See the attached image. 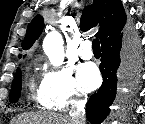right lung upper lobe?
Returning <instances> with one entry per match:
<instances>
[{"label":"right lung upper lobe","mask_w":145,"mask_h":124,"mask_svg":"<svg viewBox=\"0 0 145 124\" xmlns=\"http://www.w3.org/2000/svg\"><path fill=\"white\" fill-rule=\"evenodd\" d=\"M125 22L126 14L121 0H94L92 5L84 8L80 28L82 31H87L99 24L100 29L96 36L102 43L109 36L120 32ZM43 28V18L40 15L35 16L28 25L22 48L29 49ZM21 56L19 57L21 58Z\"/></svg>","instance_id":"cb5924a9"}]
</instances>
